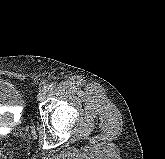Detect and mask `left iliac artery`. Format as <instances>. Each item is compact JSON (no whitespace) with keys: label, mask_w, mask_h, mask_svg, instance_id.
<instances>
[{"label":"left iliac artery","mask_w":165,"mask_h":159,"mask_svg":"<svg viewBox=\"0 0 165 159\" xmlns=\"http://www.w3.org/2000/svg\"><path fill=\"white\" fill-rule=\"evenodd\" d=\"M45 88L48 90V91H51L54 89V84L53 83H50L48 84L47 86H45Z\"/></svg>","instance_id":"obj_1"}]
</instances>
